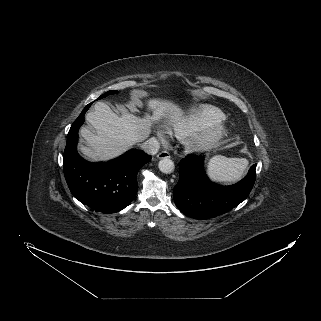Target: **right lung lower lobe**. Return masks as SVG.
<instances>
[{"mask_svg": "<svg viewBox=\"0 0 321 321\" xmlns=\"http://www.w3.org/2000/svg\"><path fill=\"white\" fill-rule=\"evenodd\" d=\"M88 104L72 124L63 155L66 182L73 196L95 211L115 213L128 206L137 191V173L151 160L142 150H130L104 163H91L77 152L78 130Z\"/></svg>", "mask_w": 321, "mask_h": 321, "instance_id": "obj_1", "label": "right lung lower lobe"}]
</instances>
